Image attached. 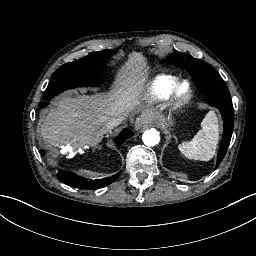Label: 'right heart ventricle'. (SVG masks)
<instances>
[{
    "instance_id": "1",
    "label": "right heart ventricle",
    "mask_w": 256,
    "mask_h": 256,
    "mask_svg": "<svg viewBox=\"0 0 256 256\" xmlns=\"http://www.w3.org/2000/svg\"><path fill=\"white\" fill-rule=\"evenodd\" d=\"M178 78L171 74H158L143 86V97L150 103L166 102Z\"/></svg>"
}]
</instances>
